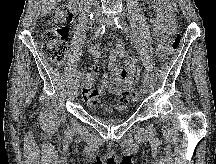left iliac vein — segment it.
Listing matches in <instances>:
<instances>
[{"label":"left iliac vein","instance_id":"left-iliac-vein-1","mask_svg":"<svg viewBox=\"0 0 216 164\" xmlns=\"http://www.w3.org/2000/svg\"><path fill=\"white\" fill-rule=\"evenodd\" d=\"M105 23L108 27H110L111 29H115L114 25H113V22L110 21V20H105ZM142 87H143V91L144 93H146L148 91V87H149V83H148V80L147 79H144L143 82H142Z\"/></svg>","mask_w":216,"mask_h":164}]
</instances>
